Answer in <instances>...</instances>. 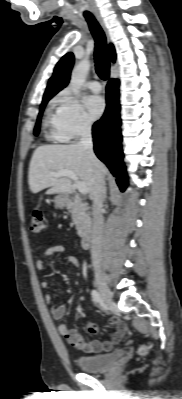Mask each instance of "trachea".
Instances as JSON below:
<instances>
[{"label": "trachea", "instance_id": "3493384b", "mask_svg": "<svg viewBox=\"0 0 182 399\" xmlns=\"http://www.w3.org/2000/svg\"><path fill=\"white\" fill-rule=\"evenodd\" d=\"M84 17L88 22L90 31L95 39L94 56L96 72L101 79L107 80L110 72V62L108 59L105 34L92 14L86 13L84 14Z\"/></svg>", "mask_w": 182, "mask_h": 399}]
</instances>
